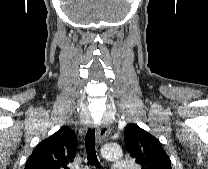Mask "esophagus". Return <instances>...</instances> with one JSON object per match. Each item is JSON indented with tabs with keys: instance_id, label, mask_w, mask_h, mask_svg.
<instances>
[{
	"instance_id": "1",
	"label": "esophagus",
	"mask_w": 208,
	"mask_h": 169,
	"mask_svg": "<svg viewBox=\"0 0 208 169\" xmlns=\"http://www.w3.org/2000/svg\"><path fill=\"white\" fill-rule=\"evenodd\" d=\"M109 133H110L109 124L106 121H103L98 126V131H97L98 142L101 143L103 140H105L109 135Z\"/></svg>"
}]
</instances>
